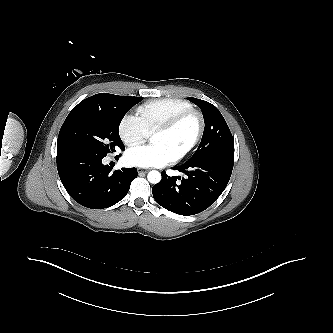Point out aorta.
Listing matches in <instances>:
<instances>
[{
  "label": "aorta",
  "instance_id": "762f6f07",
  "mask_svg": "<svg viewBox=\"0 0 333 333\" xmlns=\"http://www.w3.org/2000/svg\"><path fill=\"white\" fill-rule=\"evenodd\" d=\"M147 179L150 183L157 184L161 180V174H160V172H158L156 170H152L148 173Z\"/></svg>",
  "mask_w": 333,
  "mask_h": 333
}]
</instances>
